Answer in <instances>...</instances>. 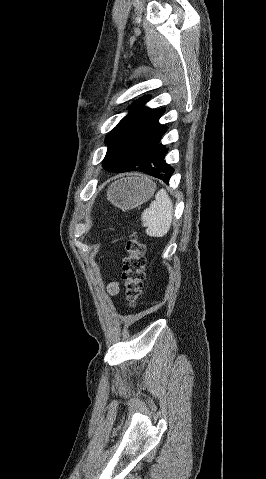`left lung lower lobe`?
Listing matches in <instances>:
<instances>
[{
	"instance_id": "left-lung-lower-lobe-1",
	"label": "left lung lower lobe",
	"mask_w": 266,
	"mask_h": 479,
	"mask_svg": "<svg viewBox=\"0 0 266 479\" xmlns=\"http://www.w3.org/2000/svg\"><path fill=\"white\" fill-rule=\"evenodd\" d=\"M166 131H167V127L165 129L164 134L166 133ZM159 147H160V150L155 158L144 160L135 168H129L126 170L116 171V172H127V171L139 170L168 183L170 177L172 176L174 172V169L171 166H169L165 161L167 148L162 144H159Z\"/></svg>"
}]
</instances>
